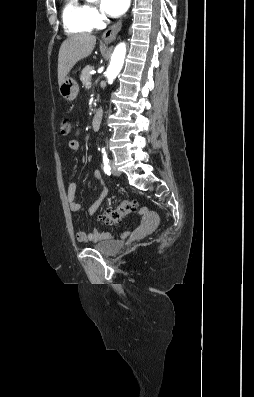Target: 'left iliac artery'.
I'll use <instances>...</instances> for the list:
<instances>
[{"label":"left iliac artery","instance_id":"1","mask_svg":"<svg viewBox=\"0 0 254 397\" xmlns=\"http://www.w3.org/2000/svg\"><path fill=\"white\" fill-rule=\"evenodd\" d=\"M102 153H103L104 172H105L107 175H110V174H111V168H110V165H109V159H108V157H107V154H106V152H105V149H102Z\"/></svg>","mask_w":254,"mask_h":397}]
</instances>
